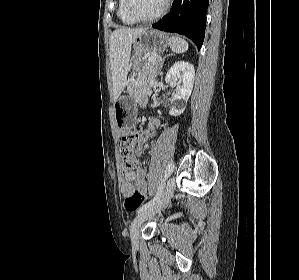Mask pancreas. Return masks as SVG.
I'll return each mask as SVG.
<instances>
[{"instance_id": "obj_1", "label": "pancreas", "mask_w": 299, "mask_h": 280, "mask_svg": "<svg viewBox=\"0 0 299 280\" xmlns=\"http://www.w3.org/2000/svg\"><path fill=\"white\" fill-rule=\"evenodd\" d=\"M160 68L161 65L158 61H144L142 73L138 78L130 81L129 91L134 93L145 88L148 89L151 85V82L155 80Z\"/></svg>"}]
</instances>
